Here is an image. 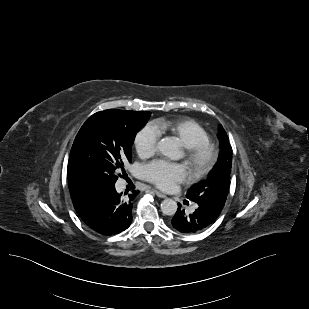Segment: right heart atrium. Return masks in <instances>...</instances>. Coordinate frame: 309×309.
<instances>
[{
  "label": "right heart atrium",
  "mask_w": 309,
  "mask_h": 309,
  "mask_svg": "<svg viewBox=\"0 0 309 309\" xmlns=\"http://www.w3.org/2000/svg\"><path fill=\"white\" fill-rule=\"evenodd\" d=\"M159 134L158 128L152 123L143 125L135 133L133 143L140 157H148L154 153Z\"/></svg>",
  "instance_id": "obj_1"
}]
</instances>
